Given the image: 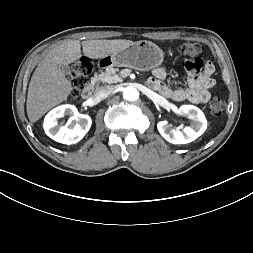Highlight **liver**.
Segmentation results:
<instances>
[{
	"label": "liver",
	"instance_id": "obj_1",
	"mask_svg": "<svg viewBox=\"0 0 253 253\" xmlns=\"http://www.w3.org/2000/svg\"><path fill=\"white\" fill-rule=\"evenodd\" d=\"M135 42L125 39L87 40L82 42L83 53L90 59H99L126 49ZM81 57V42L65 40L54 45L35 69L29 83L27 115L31 122L38 121L48 110L65 101L72 91L61 65H68Z\"/></svg>",
	"mask_w": 253,
	"mask_h": 253
}]
</instances>
